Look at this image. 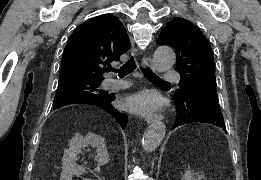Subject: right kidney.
I'll use <instances>...</instances> for the list:
<instances>
[{
	"instance_id": "1",
	"label": "right kidney",
	"mask_w": 261,
	"mask_h": 180,
	"mask_svg": "<svg viewBox=\"0 0 261 180\" xmlns=\"http://www.w3.org/2000/svg\"><path fill=\"white\" fill-rule=\"evenodd\" d=\"M87 146L96 148L95 158L98 166H105V164L109 162V154L102 136L87 134L84 138V136H80V134H75L74 138L70 140L69 150H65L63 156L60 180H69V176H73V174H85V170L78 168L75 162L78 154H81L82 148H87Z\"/></svg>"
}]
</instances>
